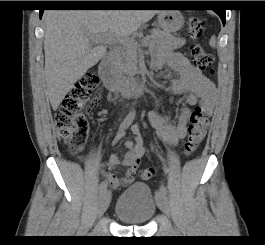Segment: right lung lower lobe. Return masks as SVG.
I'll list each match as a JSON object with an SVG mask.
<instances>
[{"label": "right lung lower lobe", "mask_w": 265, "mask_h": 245, "mask_svg": "<svg viewBox=\"0 0 265 245\" xmlns=\"http://www.w3.org/2000/svg\"><path fill=\"white\" fill-rule=\"evenodd\" d=\"M62 6H82V7H115L120 6L118 1H83L82 3H64ZM44 10H40V18Z\"/></svg>", "instance_id": "98d812e1"}]
</instances>
